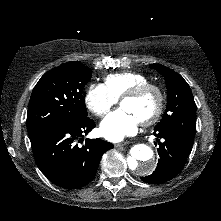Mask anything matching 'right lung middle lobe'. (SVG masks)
Listing matches in <instances>:
<instances>
[{
	"instance_id": "dd1d6c3e",
	"label": "right lung middle lobe",
	"mask_w": 221,
	"mask_h": 221,
	"mask_svg": "<svg viewBox=\"0 0 221 221\" xmlns=\"http://www.w3.org/2000/svg\"><path fill=\"white\" fill-rule=\"evenodd\" d=\"M91 75L90 68L75 61L45 73L31 94L27 114L29 137L86 117L88 112L82 92Z\"/></svg>"
}]
</instances>
